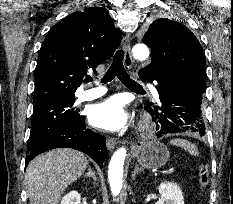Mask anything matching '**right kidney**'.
Segmentation results:
<instances>
[{
	"mask_svg": "<svg viewBox=\"0 0 233 204\" xmlns=\"http://www.w3.org/2000/svg\"><path fill=\"white\" fill-rule=\"evenodd\" d=\"M60 204H81L80 194L77 191H71L62 198Z\"/></svg>",
	"mask_w": 233,
	"mask_h": 204,
	"instance_id": "right-kidney-1",
	"label": "right kidney"
}]
</instances>
